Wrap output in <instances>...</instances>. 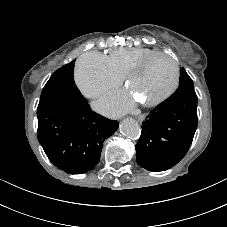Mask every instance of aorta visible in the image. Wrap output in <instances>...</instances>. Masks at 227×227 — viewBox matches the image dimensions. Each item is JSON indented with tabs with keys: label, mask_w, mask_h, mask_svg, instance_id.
<instances>
[{
	"label": "aorta",
	"mask_w": 227,
	"mask_h": 227,
	"mask_svg": "<svg viewBox=\"0 0 227 227\" xmlns=\"http://www.w3.org/2000/svg\"><path fill=\"white\" fill-rule=\"evenodd\" d=\"M120 131L130 139H138L141 134L140 126L133 118H125L120 125Z\"/></svg>",
	"instance_id": "762f6f07"
}]
</instances>
